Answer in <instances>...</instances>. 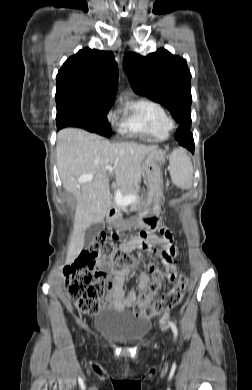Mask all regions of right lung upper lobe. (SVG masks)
<instances>
[{"mask_svg":"<svg viewBox=\"0 0 252 390\" xmlns=\"http://www.w3.org/2000/svg\"><path fill=\"white\" fill-rule=\"evenodd\" d=\"M118 66L111 51L84 48L69 57L56 76V104L105 103L116 95Z\"/></svg>","mask_w":252,"mask_h":390,"instance_id":"right-lung-upper-lobe-1","label":"right lung upper lobe"}]
</instances>
